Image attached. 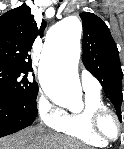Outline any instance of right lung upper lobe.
Returning <instances> with one entry per match:
<instances>
[{
  "label": "right lung upper lobe",
  "instance_id": "cb5924a9",
  "mask_svg": "<svg viewBox=\"0 0 124 149\" xmlns=\"http://www.w3.org/2000/svg\"><path fill=\"white\" fill-rule=\"evenodd\" d=\"M46 22L38 30L31 9L23 4L0 17V66L28 73L32 71L31 48L35 38L42 36Z\"/></svg>",
  "mask_w": 124,
  "mask_h": 149
}]
</instances>
